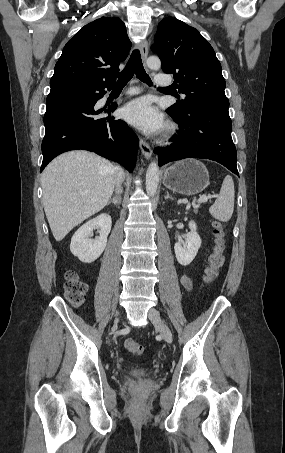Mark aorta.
I'll list each match as a JSON object with an SVG mask.
<instances>
[{"label": "aorta", "instance_id": "obj_1", "mask_svg": "<svg viewBox=\"0 0 285 453\" xmlns=\"http://www.w3.org/2000/svg\"><path fill=\"white\" fill-rule=\"evenodd\" d=\"M150 69L157 70L161 67V61L158 57H149L146 61ZM159 184V170L156 161H152L146 172V192L149 196H154Z\"/></svg>", "mask_w": 285, "mask_h": 453}]
</instances>
